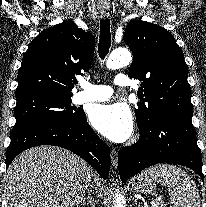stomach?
I'll use <instances>...</instances> for the list:
<instances>
[{"label":"stomach","instance_id":"0dacf381","mask_svg":"<svg viewBox=\"0 0 206 207\" xmlns=\"http://www.w3.org/2000/svg\"><path fill=\"white\" fill-rule=\"evenodd\" d=\"M131 188L134 192L150 195L154 193L155 186L152 181L139 176L136 180H132Z\"/></svg>","mask_w":206,"mask_h":207}]
</instances>
